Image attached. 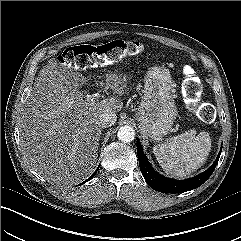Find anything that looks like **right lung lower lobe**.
I'll use <instances>...</instances> for the list:
<instances>
[{
    "mask_svg": "<svg viewBox=\"0 0 241 241\" xmlns=\"http://www.w3.org/2000/svg\"><path fill=\"white\" fill-rule=\"evenodd\" d=\"M95 174H96V172H94V174H93L90 178H88L86 181L82 182L81 184H83V183L89 181L90 179H92V178L94 177Z\"/></svg>",
    "mask_w": 241,
    "mask_h": 241,
    "instance_id": "1",
    "label": "right lung lower lobe"
}]
</instances>
